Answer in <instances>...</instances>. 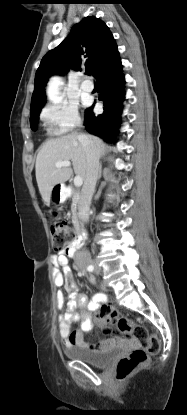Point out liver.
<instances>
[{
    "label": "liver",
    "instance_id": "obj_1",
    "mask_svg": "<svg viewBox=\"0 0 187 415\" xmlns=\"http://www.w3.org/2000/svg\"><path fill=\"white\" fill-rule=\"evenodd\" d=\"M77 133H71L58 138L47 140L40 148L36 158V181L39 192L46 205L50 204L51 192L55 185L66 182L73 174L85 180L86 153L78 139ZM93 142L98 156L104 153L105 143L98 137L87 135ZM60 161H72L70 167L57 168L55 164Z\"/></svg>",
    "mask_w": 187,
    "mask_h": 415
}]
</instances>
